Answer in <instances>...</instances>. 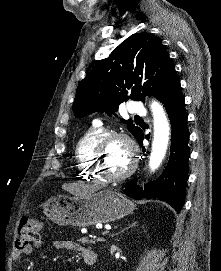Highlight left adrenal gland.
Masks as SVG:
<instances>
[{
    "instance_id": "left-adrenal-gland-1",
    "label": "left adrenal gland",
    "mask_w": 221,
    "mask_h": 271,
    "mask_svg": "<svg viewBox=\"0 0 221 271\" xmlns=\"http://www.w3.org/2000/svg\"><path fill=\"white\" fill-rule=\"evenodd\" d=\"M136 223H138V221H133V223H128V227H125V229H129V227H133V225H136ZM121 231H124V229H121ZM120 233V231H119ZM117 235V233H116Z\"/></svg>"
}]
</instances>
